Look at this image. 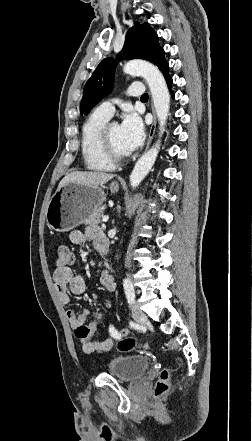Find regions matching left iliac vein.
<instances>
[{
  "label": "left iliac vein",
  "mask_w": 252,
  "mask_h": 441,
  "mask_svg": "<svg viewBox=\"0 0 252 441\" xmlns=\"http://www.w3.org/2000/svg\"><path fill=\"white\" fill-rule=\"evenodd\" d=\"M132 314L136 321H140L145 317L143 311L140 309L139 305L135 302L132 305Z\"/></svg>",
  "instance_id": "obj_1"
}]
</instances>
